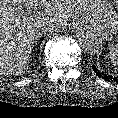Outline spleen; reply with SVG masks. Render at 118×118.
Here are the masks:
<instances>
[{"instance_id":"3e777b00","label":"spleen","mask_w":118,"mask_h":118,"mask_svg":"<svg viewBox=\"0 0 118 118\" xmlns=\"http://www.w3.org/2000/svg\"><path fill=\"white\" fill-rule=\"evenodd\" d=\"M109 54L113 65L118 68V43L110 46Z\"/></svg>"}]
</instances>
